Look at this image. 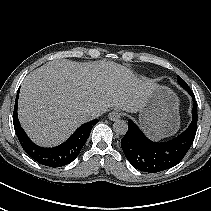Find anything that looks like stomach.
I'll list each match as a JSON object with an SVG mask.
<instances>
[{
  "instance_id": "1",
  "label": "stomach",
  "mask_w": 211,
  "mask_h": 211,
  "mask_svg": "<svg viewBox=\"0 0 211 211\" xmlns=\"http://www.w3.org/2000/svg\"><path fill=\"white\" fill-rule=\"evenodd\" d=\"M139 123L154 140L175 134L180 125L179 100L168 87L156 85L140 110Z\"/></svg>"
}]
</instances>
